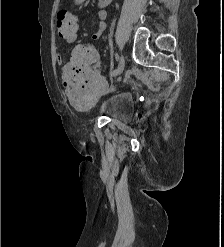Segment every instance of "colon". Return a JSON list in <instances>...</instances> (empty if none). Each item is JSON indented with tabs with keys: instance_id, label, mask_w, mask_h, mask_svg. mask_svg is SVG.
Masks as SVG:
<instances>
[{
	"instance_id": "5ec220e1",
	"label": "colon",
	"mask_w": 224,
	"mask_h": 247,
	"mask_svg": "<svg viewBox=\"0 0 224 247\" xmlns=\"http://www.w3.org/2000/svg\"><path fill=\"white\" fill-rule=\"evenodd\" d=\"M78 20L68 10L57 15V31L60 37L69 39L77 35ZM70 87L68 99L77 108H88L95 104L106 89V81L98 67V51L90 43L78 45L65 70Z\"/></svg>"
}]
</instances>
